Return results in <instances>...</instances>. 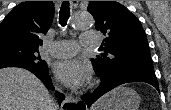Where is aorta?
Listing matches in <instances>:
<instances>
[{
    "label": "aorta",
    "instance_id": "762f6f07",
    "mask_svg": "<svg viewBox=\"0 0 171 110\" xmlns=\"http://www.w3.org/2000/svg\"><path fill=\"white\" fill-rule=\"evenodd\" d=\"M93 24L94 19L89 13H76L71 20V26L75 30L86 29Z\"/></svg>",
    "mask_w": 171,
    "mask_h": 110
}]
</instances>
